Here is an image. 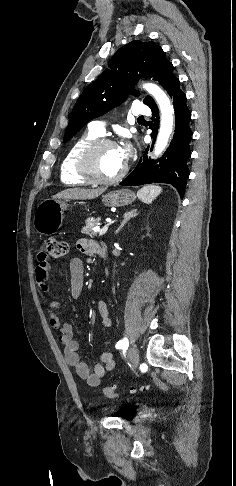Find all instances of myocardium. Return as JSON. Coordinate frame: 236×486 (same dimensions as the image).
I'll use <instances>...</instances> for the list:
<instances>
[{
	"label": "myocardium",
	"instance_id": "obj_1",
	"mask_svg": "<svg viewBox=\"0 0 236 486\" xmlns=\"http://www.w3.org/2000/svg\"><path fill=\"white\" fill-rule=\"evenodd\" d=\"M104 146L118 147L117 143L108 138H97L88 143L79 153L77 159V172L89 183L108 185L119 182L127 173L125 164L123 169L114 177L105 178L98 174L95 168V156L98 150Z\"/></svg>",
	"mask_w": 236,
	"mask_h": 486
}]
</instances>
